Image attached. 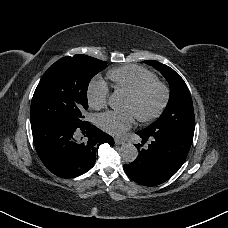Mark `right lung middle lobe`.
<instances>
[{
	"mask_svg": "<svg viewBox=\"0 0 228 228\" xmlns=\"http://www.w3.org/2000/svg\"><path fill=\"white\" fill-rule=\"evenodd\" d=\"M107 63L86 55L67 56L44 73L32 98L31 124L45 121L80 126L86 121L87 89Z\"/></svg>",
	"mask_w": 228,
	"mask_h": 228,
	"instance_id": "dd1d6c3e",
	"label": "right lung middle lobe"
}]
</instances>
